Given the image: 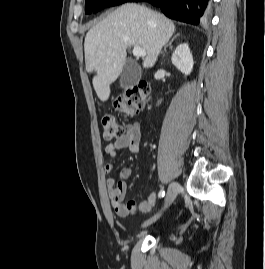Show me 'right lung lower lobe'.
I'll return each mask as SVG.
<instances>
[{"label":"right lung lower lobe","instance_id":"right-lung-lower-lobe-1","mask_svg":"<svg viewBox=\"0 0 265 269\" xmlns=\"http://www.w3.org/2000/svg\"><path fill=\"white\" fill-rule=\"evenodd\" d=\"M143 1L160 7L162 12L172 19L197 25L209 0H129L128 2Z\"/></svg>","mask_w":265,"mask_h":269}]
</instances>
